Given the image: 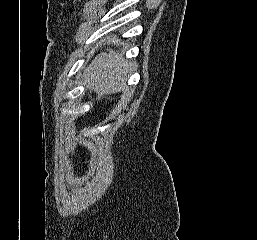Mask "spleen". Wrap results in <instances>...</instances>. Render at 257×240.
<instances>
[{"mask_svg":"<svg viewBox=\"0 0 257 240\" xmlns=\"http://www.w3.org/2000/svg\"><path fill=\"white\" fill-rule=\"evenodd\" d=\"M135 69L133 62L122 59L113 51L102 53L88 68L90 86L100 93L125 90V83Z\"/></svg>","mask_w":257,"mask_h":240,"instance_id":"spleen-1","label":"spleen"}]
</instances>
